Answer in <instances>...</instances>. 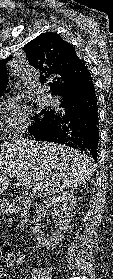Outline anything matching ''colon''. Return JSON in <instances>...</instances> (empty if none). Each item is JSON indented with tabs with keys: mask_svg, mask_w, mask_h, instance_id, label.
I'll return each instance as SVG.
<instances>
[{
	"mask_svg": "<svg viewBox=\"0 0 113 279\" xmlns=\"http://www.w3.org/2000/svg\"><path fill=\"white\" fill-rule=\"evenodd\" d=\"M12 254L8 251L1 249L0 247V265L7 262L11 258Z\"/></svg>",
	"mask_w": 113,
	"mask_h": 279,
	"instance_id": "colon-1",
	"label": "colon"
}]
</instances>
